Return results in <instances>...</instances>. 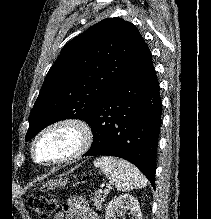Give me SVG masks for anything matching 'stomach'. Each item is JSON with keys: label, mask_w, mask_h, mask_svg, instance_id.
<instances>
[{"label": "stomach", "mask_w": 211, "mask_h": 219, "mask_svg": "<svg viewBox=\"0 0 211 219\" xmlns=\"http://www.w3.org/2000/svg\"><path fill=\"white\" fill-rule=\"evenodd\" d=\"M63 175L60 176L59 179H56V180H50V181H47V182H42L38 185V189L41 190V191H48V190H52L54 189L56 186H65L67 185V183L69 182L68 181V178H63L62 177Z\"/></svg>", "instance_id": "0dacf381"}]
</instances>
